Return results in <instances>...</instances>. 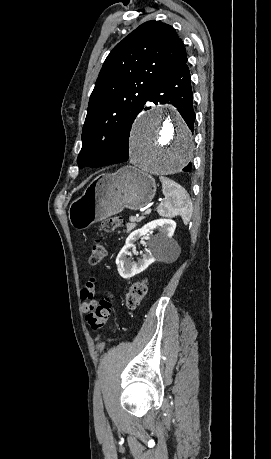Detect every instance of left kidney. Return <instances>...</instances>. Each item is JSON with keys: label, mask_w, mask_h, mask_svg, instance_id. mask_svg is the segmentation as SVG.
<instances>
[{"label": "left kidney", "mask_w": 271, "mask_h": 459, "mask_svg": "<svg viewBox=\"0 0 271 459\" xmlns=\"http://www.w3.org/2000/svg\"><path fill=\"white\" fill-rule=\"evenodd\" d=\"M175 228L176 222H173V220H153V222L145 224L143 228L135 229V231L129 233L125 245H123L116 257V263L121 277L129 279L132 275L144 271L150 263L156 261L154 255L165 253V251H175V245H171V237ZM152 229H159L160 233H158V235H150L148 241L150 251L142 255V259H139L137 263L136 261H132V259H128L126 255H128L130 247L134 245L135 239L142 237V235H146V233H152Z\"/></svg>", "instance_id": "obj_1"}]
</instances>
